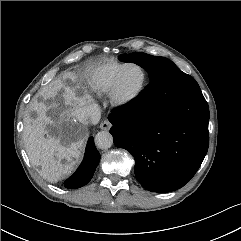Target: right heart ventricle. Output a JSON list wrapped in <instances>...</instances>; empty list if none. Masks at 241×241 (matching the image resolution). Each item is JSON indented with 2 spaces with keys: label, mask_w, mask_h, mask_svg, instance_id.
I'll return each mask as SVG.
<instances>
[{
  "label": "right heart ventricle",
  "mask_w": 241,
  "mask_h": 241,
  "mask_svg": "<svg viewBox=\"0 0 241 241\" xmlns=\"http://www.w3.org/2000/svg\"><path fill=\"white\" fill-rule=\"evenodd\" d=\"M126 63L106 61L93 64L83 73L84 80L89 89L98 95L107 94L118 71Z\"/></svg>",
  "instance_id": "1"
}]
</instances>
